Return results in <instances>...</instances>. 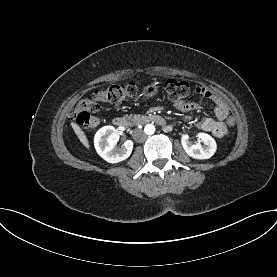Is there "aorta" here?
<instances>
[{"label": "aorta", "mask_w": 277, "mask_h": 277, "mask_svg": "<svg viewBox=\"0 0 277 277\" xmlns=\"http://www.w3.org/2000/svg\"><path fill=\"white\" fill-rule=\"evenodd\" d=\"M155 132V126L152 125V124H147L145 127H144V133L147 134V135H152L154 134Z\"/></svg>", "instance_id": "762f6f07"}]
</instances>
